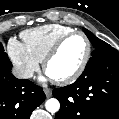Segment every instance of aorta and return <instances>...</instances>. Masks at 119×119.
Masks as SVG:
<instances>
[{
	"label": "aorta",
	"instance_id": "762f6f07",
	"mask_svg": "<svg viewBox=\"0 0 119 119\" xmlns=\"http://www.w3.org/2000/svg\"><path fill=\"white\" fill-rule=\"evenodd\" d=\"M45 107H46L47 111H49L51 113H55L59 110L60 103L57 99L51 98V99L46 101Z\"/></svg>",
	"mask_w": 119,
	"mask_h": 119
}]
</instances>
